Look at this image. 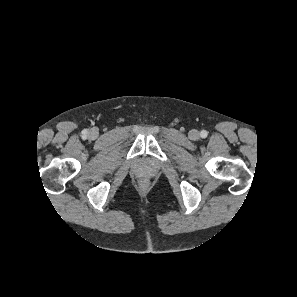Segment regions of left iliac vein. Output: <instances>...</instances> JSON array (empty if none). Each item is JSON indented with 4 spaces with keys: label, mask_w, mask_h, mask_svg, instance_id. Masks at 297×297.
I'll use <instances>...</instances> for the list:
<instances>
[{
    "label": "left iliac vein",
    "mask_w": 297,
    "mask_h": 297,
    "mask_svg": "<svg viewBox=\"0 0 297 297\" xmlns=\"http://www.w3.org/2000/svg\"><path fill=\"white\" fill-rule=\"evenodd\" d=\"M200 137V134L197 130L193 129L189 132V138L192 140H198Z\"/></svg>",
    "instance_id": "obj_1"
}]
</instances>
